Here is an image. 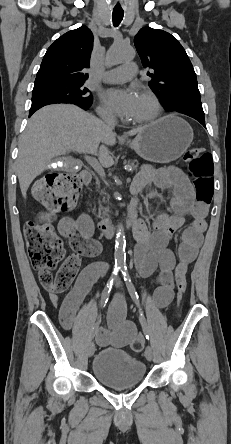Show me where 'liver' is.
<instances>
[{
	"mask_svg": "<svg viewBox=\"0 0 231 444\" xmlns=\"http://www.w3.org/2000/svg\"><path fill=\"white\" fill-rule=\"evenodd\" d=\"M144 127L129 131V136ZM103 145L99 148V144ZM116 143V134L95 116L71 104L48 105L30 118L19 141L17 175L21 193L26 198L33 180L46 170L54 157L67 152H81L98 156L100 164L114 163L107 146Z\"/></svg>",
	"mask_w": 231,
	"mask_h": 444,
	"instance_id": "liver-1",
	"label": "liver"
}]
</instances>
